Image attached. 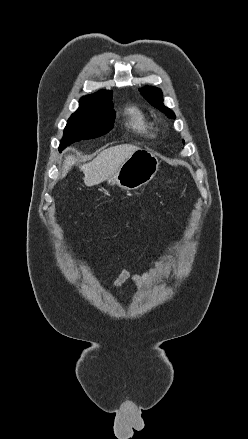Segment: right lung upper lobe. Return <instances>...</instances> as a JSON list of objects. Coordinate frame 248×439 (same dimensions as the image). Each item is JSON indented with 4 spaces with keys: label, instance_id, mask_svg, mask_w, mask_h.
Returning a JSON list of instances; mask_svg holds the SVG:
<instances>
[{
    "label": "right lung upper lobe",
    "instance_id": "right-lung-upper-lobe-1",
    "mask_svg": "<svg viewBox=\"0 0 248 439\" xmlns=\"http://www.w3.org/2000/svg\"><path fill=\"white\" fill-rule=\"evenodd\" d=\"M112 92L101 90L97 93L83 96L80 99V105L85 106H97L102 108L112 109L113 104L111 102Z\"/></svg>",
    "mask_w": 248,
    "mask_h": 439
}]
</instances>
